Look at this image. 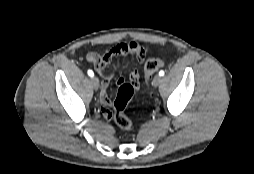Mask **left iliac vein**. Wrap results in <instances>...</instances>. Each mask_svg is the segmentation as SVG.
<instances>
[{"label": "left iliac vein", "mask_w": 254, "mask_h": 174, "mask_svg": "<svg viewBox=\"0 0 254 174\" xmlns=\"http://www.w3.org/2000/svg\"><path fill=\"white\" fill-rule=\"evenodd\" d=\"M161 81H162L161 76L156 75V76L153 78L152 84H153L154 86H158V85H160Z\"/></svg>", "instance_id": "4c4485c4"}]
</instances>
